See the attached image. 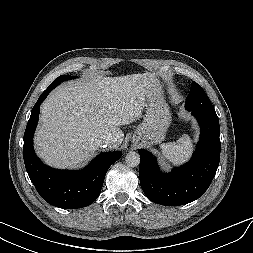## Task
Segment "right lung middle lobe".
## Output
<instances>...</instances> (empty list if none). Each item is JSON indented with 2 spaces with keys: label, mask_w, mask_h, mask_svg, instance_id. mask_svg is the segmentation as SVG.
Masks as SVG:
<instances>
[{
  "label": "right lung middle lobe",
  "mask_w": 253,
  "mask_h": 253,
  "mask_svg": "<svg viewBox=\"0 0 253 253\" xmlns=\"http://www.w3.org/2000/svg\"><path fill=\"white\" fill-rule=\"evenodd\" d=\"M72 76H67V75H61L59 77H57L50 85L49 87L54 89L57 85H59L62 81L66 80V79H72Z\"/></svg>",
  "instance_id": "right-lung-middle-lobe-1"
}]
</instances>
